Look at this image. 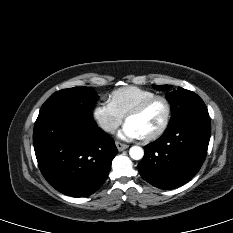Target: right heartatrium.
<instances>
[{
  "label": "right heart atrium",
  "mask_w": 233,
  "mask_h": 233,
  "mask_svg": "<svg viewBox=\"0 0 233 233\" xmlns=\"http://www.w3.org/2000/svg\"><path fill=\"white\" fill-rule=\"evenodd\" d=\"M93 118L106 133H114L123 122V117L110 102H100L93 109Z\"/></svg>",
  "instance_id": "obj_1"
}]
</instances>
